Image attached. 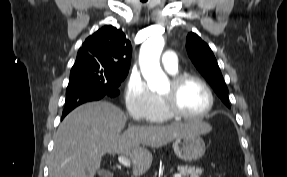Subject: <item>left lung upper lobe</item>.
I'll list each match as a JSON object with an SVG mask.
<instances>
[{
    "instance_id": "1",
    "label": "left lung upper lobe",
    "mask_w": 287,
    "mask_h": 177,
    "mask_svg": "<svg viewBox=\"0 0 287 177\" xmlns=\"http://www.w3.org/2000/svg\"><path fill=\"white\" fill-rule=\"evenodd\" d=\"M186 48L188 55L199 72L212 86L223 103L230 107L228 88L220 72L216 58L208 46L197 34L191 32L187 36Z\"/></svg>"
}]
</instances>
